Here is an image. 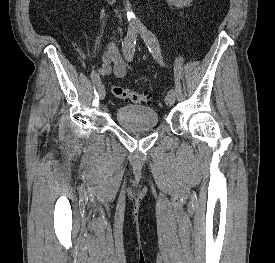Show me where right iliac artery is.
<instances>
[{
	"instance_id": "obj_1",
	"label": "right iliac artery",
	"mask_w": 275,
	"mask_h": 263,
	"mask_svg": "<svg viewBox=\"0 0 275 263\" xmlns=\"http://www.w3.org/2000/svg\"><path fill=\"white\" fill-rule=\"evenodd\" d=\"M137 34H138V29L137 28H130L127 36L122 42V49H123V54L126 57L127 60H131L134 55L135 51V44L137 40ZM91 78L92 82L95 86H99L101 84V79L100 76L96 73V71L91 72Z\"/></svg>"
}]
</instances>
